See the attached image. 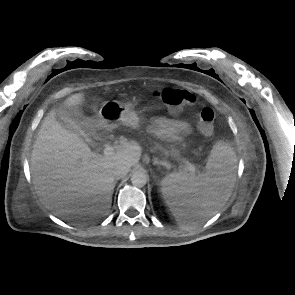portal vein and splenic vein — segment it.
Listing matches in <instances>:
<instances>
[{
    "mask_svg": "<svg viewBox=\"0 0 295 295\" xmlns=\"http://www.w3.org/2000/svg\"><path fill=\"white\" fill-rule=\"evenodd\" d=\"M115 153V150L112 146L108 145L105 147L104 149V156L109 157L112 156ZM186 170L189 171L190 173L194 174L196 171V167L194 166V164L190 163V162H186Z\"/></svg>",
    "mask_w": 295,
    "mask_h": 295,
    "instance_id": "portal-vein-and-splenic-vein-1",
    "label": "portal vein and splenic vein"
}]
</instances>
